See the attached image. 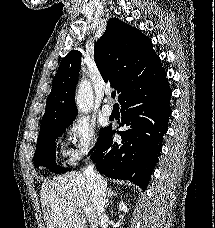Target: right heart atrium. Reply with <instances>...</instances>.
I'll use <instances>...</instances> for the list:
<instances>
[{"mask_svg":"<svg viewBox=\"0 0 215 228\" xmlns=\"http://www.w3.org/2000/svg\"><path fill=\"white\" fill-rule=\"evenodd\" d=\"M67 133L72 140L69 150L72 163L80 162L94 152L98 143V131L89 119L83 116L75 118L68 124Z\"/></svg>","mask_w":215,"mask_h":228,"instance_id":"d8ad5b80","label":"right heart atrium"}]
</instances>
